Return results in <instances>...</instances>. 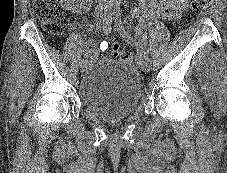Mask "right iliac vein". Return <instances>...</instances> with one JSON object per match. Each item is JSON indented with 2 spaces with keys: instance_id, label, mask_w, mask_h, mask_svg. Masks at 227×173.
Returning <instances> with one entry per match:
<instances>
[{
  "instance_id": "obj_1",
  "label": "right iliac vein",
  "mask_w": 227,
  "mask_h": 173,
  "mask_svg": "<svg viewBox=\"0 0 227 173\" xmlns=\"http://www.w3.org/2000/svg\"><path fill=\"white\" fill-rule=\"evenodd\" d=\"M110 12L108 13L107 11H99L97 14L98 20L99 22H104L105 19H107L108 17H110ZM87 69V62L83 61L80 65V71L83 73L85 70Z\"/></svg>"
}]
</instances>
